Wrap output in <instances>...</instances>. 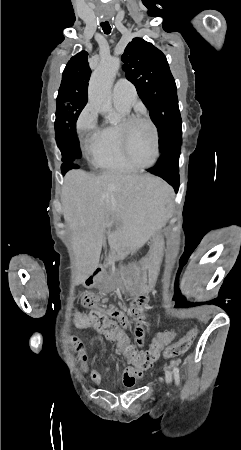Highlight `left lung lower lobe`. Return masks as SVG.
<instances>
[{
	"label": "left lung lower lobe",
	"instance_id": "left-lung-lower-lobe-1",
	"mask_svg": "<svg viewBox=\"0 0 241 450\" xmlns=\"http://www.w3.org/2000/svg\"><path fill=\"white\" fill-rule=\"evenodd\" d=\"M179 154L180 143L178 141L160 155L157 165L147 170L166 180L174 187L175 191L179 187Z\"/></svg>",
	"mask_w": 241,
	"mask_h": 450
}]
</instances>
